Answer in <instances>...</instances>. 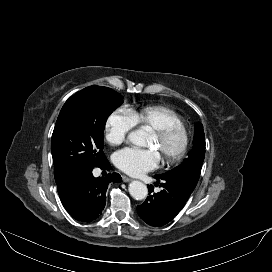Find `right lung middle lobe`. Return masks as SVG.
<instances>
[{"instance_id":"obj_1","label":"right lung middle lobe","mask_w":272,"mask_h":272,"mask_svg":"<svg viewBox=\"0 0 272 272\" xmlns=\"http://www.w3.org/2000/svg\"><path fill=\"white\" fill-rule=\"evenodd\" d=\"M122 103L119 93L102 86L86 87L65 102L51 141L54 169L60 177L73 179L106 161L105 123Z\"/></svg>"}]
</instances>
